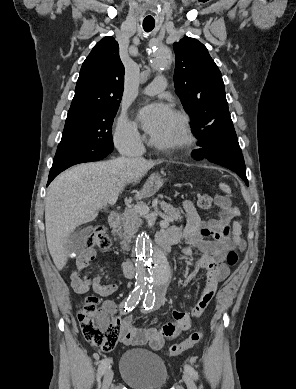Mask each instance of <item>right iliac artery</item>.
Listing matches in <instances>:
<instances>
[{
    "label": "right iliac artery",
    "instance_id": "1",
    "mask_svg": "<svg viewBox=\"0 0 296 389\" xmlns=\"http://www.w3.org/2000/svg\"><path fill=\"white\" fill-rule=\"evenodd\" d=\"M143 295V289L140 286L136 287L132 293L129 295L125 303L122 304V307L125 308V311L128 312L135 308V306L138 304L139 300L141 299ZM111 360L110 359H104L98 368V380L101 378V376L106 372L110 365Z\"/></svg>",
    "mask_w": 296,
    "mask_h": 389
}]
</instances>
